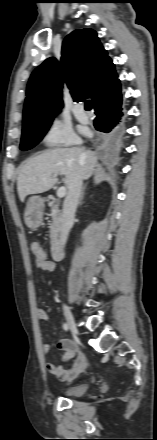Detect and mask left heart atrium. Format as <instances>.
Returning a JSON list of instances; mask_svg holds the SVG:
<instances>
[{
    "instance_id": "obj_1",
    "label": "left heart atrium",
    "mask_w": 157,
    "mask_h": 440,
    "mask_svg": "<svg viewBox=\"0 0 157 440\" xmlns=\"http://www.w3.org/2000/svg\"><path fill=\"white\" fill-rule=\"evenodd\" d=\"M80 130H81L82 133H87L88 132L87 128L83 127V126L80 127Z\"/></svg>"
}]
</instances>
